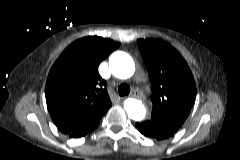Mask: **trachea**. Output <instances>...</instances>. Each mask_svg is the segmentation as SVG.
Wrapping results in <instances>:
<instances>
[{"label": "trachea", "mask_w": 240, "mask_h": 160, "mask_svg": "<svg viewBox=\"0 0 240 160\" xmlns=\"http://www.w3.org/2000/svg\"><path fill=\"white\" fill-rule=\"evenodd\" d=\"M130 86L128 84L122 83L118 86V92L120 96H126L130 93Z\"/></svg>", "instance_id": "3493384b"}]
</instances>
